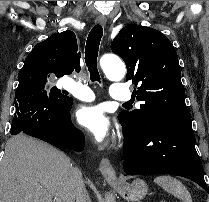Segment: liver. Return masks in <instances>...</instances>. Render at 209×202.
<instances>
[{"label":"liver","mask_w":209,"mask_h":202,"mask_svg":"<svg viewBox=\"0 0 209 202\" xmlns=\"http://www.w3.org/2000/svg\"><path fill=\"white\" fill-rule=\"evenodd\" d=\"M0 202H75L70 158L26 135L12 137L0 164Z\"/></svg>","instance_id":"6515ba94"}]
</instances>
